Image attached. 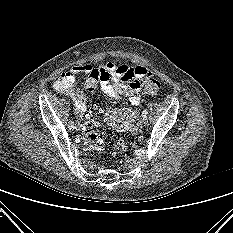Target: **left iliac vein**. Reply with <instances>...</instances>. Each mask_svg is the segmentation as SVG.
<instances>
[{
	"label": "left iliac vein",
	"mask_w": 233,
	"mask_h": 233,
	"mask_svg": "<svg viewBox=\"0 0 233 233\" xmlns=\"http://www.w3.org/2000/svg\"><path fill=\"white\" fill-rule=\"evenodd\" d=\"M147 124V119L145 117L142 116L140 122H139V125L140 126H145Z\"/></svg>",
	"instance_id": "1"
}]
</instances>
